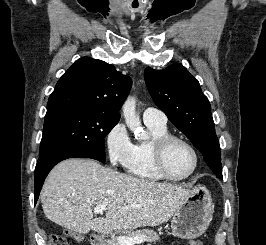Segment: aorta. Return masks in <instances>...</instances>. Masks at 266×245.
<instances>
[{
	"instance_id": "1",
	"label": "aorta",
	"mask_w": 266,
	"mask_h": 245,
	"mask_svg": "<svg viewBox=\"0 0 266 245\" xmlns=\"http://www.w3.org/2000/svg\"><path fill=\"white\" fill-rule=\"evenodd\" d=\"M135 108L136 98H134V96H128L122 106L125 123L128 129L133 131L135 139L143 141V139H148V137L146 131H142L140 116L137 114Z\"/></svg>"
}]
</instances>
